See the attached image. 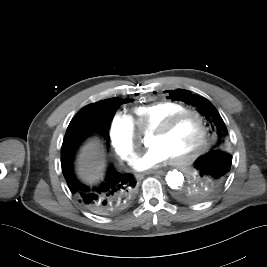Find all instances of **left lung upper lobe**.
Instances as JSON below:
<instances>
[{"label":"left lung upper lobe","mask_w":267,"mask_h":267,"mask_svg":"<svg viewBox=\"0 0 267 267\" xmlns=\"http://www.w3.org/2000/svg\"><path fill=\"white\" fill-rule=\"evenodd\" d=\"M166 92H169L168 99H171L172 101H182L195 107L197 111L205 118L207 125L216 135L217 141L215 145L203 157H208L213 153L230 154L227 145V128L225 127L224 121L222 120L219 112L209 100L198 95H192L190 92L182 89L168 90Z\"/></svg>","instance_id":"1"}]
</instances>
